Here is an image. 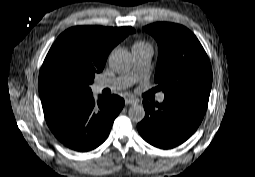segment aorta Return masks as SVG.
<instances>
[{
  "label": "aorta",
  "mask_w": 255,
  "mask_h": 177,
  "mask_svg": "<svg viewBox=\"0 0 255 177\" xmlns=\"http://www.w3.org/2000/svg\"><path fill=\"white\" fill-rule=\"evenodd\" d=\"M109 66L117 73L129 71L132 66V55L124 49H115L109 55ZM128 117L133 122H141L145 117L144 107L140 104H133L128 110Z\"/></svg>",
  "instance_id": "1"
}]
</instances>
